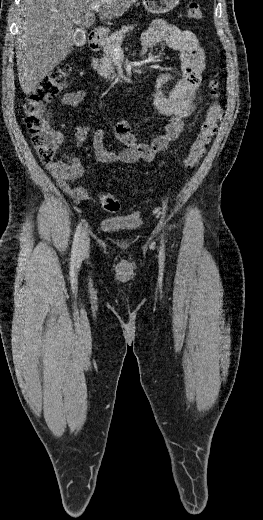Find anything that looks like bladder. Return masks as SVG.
Wrapping results in <instances>:
<instances>
[{
  "label": "bladder",
  "mask_w": 263,
  "mask_h": 520,
  "mask_svg": "<svg viewBox=\"0 0 263 520\" xmlns=\"http://www.w3.org/2000/svg\"><path fill=\"white\" fill-rule=\"evenodd\" d=\"M100 225L102 230L106 232L128 233L141 227L142 218L139 213L132 212L103 218Z\"/></svg>",
  "instance_id": "31cf9c89"
}]
</instances>
